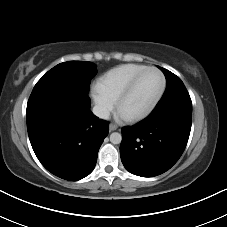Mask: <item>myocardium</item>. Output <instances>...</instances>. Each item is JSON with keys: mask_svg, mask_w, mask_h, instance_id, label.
<instances>
[{"mask_svg": "<svg viewBox=\"0 0 227 227\" xmlns=\"http://www.w3.org/2000/svg\"><path fill=\"white\" fill-rule=\"evenodd\" d=\"M149 70H155L161 75V77H162L161 89H160L158 95L155 97V99L147 107H145L143 110H141V111H139L137 113L129 114L128 118H127L128 121L137 122V121H140V120L144 119L145 117H147L155 109V107L158 105V103L160 102V100L162 99V97H163V95H164V93L166 91L167 79H166V76L163 73V71L160 68L156 67V66H146L145 68L140 70L131 79V81L128 83V85L125 87V89L119 95V97L117 99V107H118V109L120 110L122 108L123 103L130 96V94L133 92V90L135 89V87H136L137 83L139 82L140 78L143 76L144 73H146Z\"/></svg>", "mask_w": 227, "mask_h": 227, "instance_id": "myocardium-1", "label": "myocardium"}]
</instances>
